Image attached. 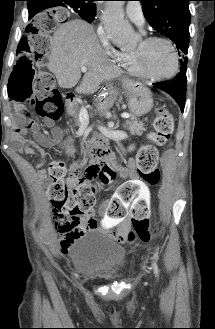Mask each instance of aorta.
Masks as SVG:
<instances>
[{
  "label": "aorta",
  "mask_w": 215,
  "mask_h": 329,
  "mask_svg": "<svg viewBox=\"0 0 215 329\" xmlns=\"http://www.w3.org/2000/svg\"><path fill=\"white\" fill-rule=\"evenodd\" d=\"M124 1H109L103 15V25L113 43L129 47L134 43V32L123 13Z\"/></svg>",
  "instance_id": "762f6f07"
}]
</instances>
